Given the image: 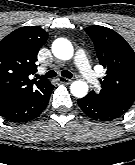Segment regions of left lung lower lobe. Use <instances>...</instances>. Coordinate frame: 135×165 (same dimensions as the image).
Returning <instances> with one entry per match:
<instances>
[{"instance_id":"obj_1","label":"left lung lower lobe","mask_w":135,"mask_h":165,"mask_svg":"<svg viewBox=\"0 0 135 165\" xmlns=\"http://www.w3.org/2000/svg\"><path fill=\"white\" fill-rule=\"evenodd\" d=\"M78 104L83 112L94 120L111 121L123 115L90 93L78 99Z\"/></svg>"}]
</instances>
